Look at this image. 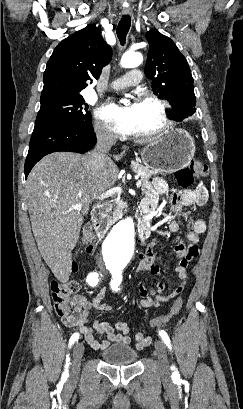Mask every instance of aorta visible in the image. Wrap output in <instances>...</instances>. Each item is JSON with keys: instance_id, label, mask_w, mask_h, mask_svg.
<instances>
[{"instance_id": "762f6f07", "label": "aorta", "mask_w": 243, "mask_h": 409, "mask_svg": "<svg viewBox=\"0 0 243 409\" xmlns=\"http://www.w3.org/2000/svg\"><path fill=\"white\" fill-rule=\"evenodd\" d=\"M143 57L138 52H126L120 61L124 68H134L139 66ZM135 226L131 217L126 218L110 231L106 237L103 248L105 254L112 259L128 258L131 256L134 247Z\"/></svg>"}]
</instances>
